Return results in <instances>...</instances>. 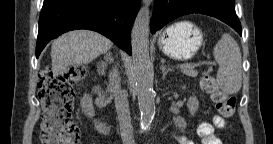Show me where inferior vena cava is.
<instances>
[{
    "label": "inferior vena cava",
    "mask_w": 273,
    "mask_h": 144,
    "mask_svg": "<svg viewBox=\"0 0 273 144\" xmlns=\"http://www.w3.org/2000/svg\"><path fill=\"white\" fill-rule=\"evenodd\" d=\"M121 78L116 68L109 75V85L113 91L115 99V107L118 114L119 127L123 144H134L133 130L131 125V117L129 103L126 94L120 87Z\"/></svg>",
    "instance_id": "602c4592"
}]
</instances>
